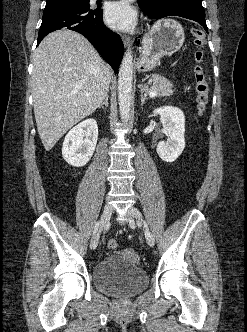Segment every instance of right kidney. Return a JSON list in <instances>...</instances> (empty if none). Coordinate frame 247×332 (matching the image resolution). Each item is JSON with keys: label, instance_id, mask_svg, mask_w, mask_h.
Instances as JSON below:
<instances>
[{"label": "right kidney", "instance_id": "obj_1", "mask_svg": "<svg viewBox=\"0 0 247 332\" xmlns=\"http://www.w3.org/2000/svg\"><path fill=\"white\" fill-rule=\"evenodd\" d=\"M98 126L94 119H87L72 128L66 135L62 156L74 166L82 167L91 159L97 144Z\"/></svg>", "mask_w": 247, "mask_h": 332}]
</instances>
